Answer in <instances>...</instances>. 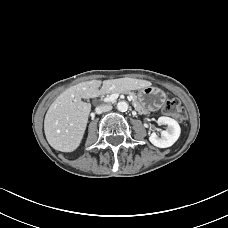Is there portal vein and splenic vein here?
<instances>
[{
    "label": "portal vein and splenic vein",
    "mask_w": 228,
    "mask_h": 228,
    "mask_svg": "<svg viewBox=\"0 0 228 228\" xmlns=\"http://www.w3.org/2000/svg\"><path fill=\"white\" fill-rule=\"evenodd\" d=\"M119 94H111L104 99V102H114L118 98Z\"/></svg>",
    "instance_id": "obj_1"
}]
</instances>
